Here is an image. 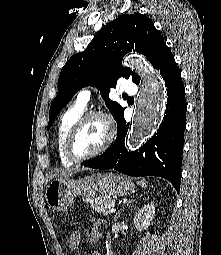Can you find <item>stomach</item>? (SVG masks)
I'll use <instances>...</instances> for the list:
<instances>
[{
    "mask_svg": "<svg viewBox=\"0 0 221 255\" xmlns=\"http://www.w3.org/2000/svg\"><path fill=\"white\" fill-rule=\"evenodd\" d=\"M134 189L130 180L114 173L95 174L78 180L65 176L55 178L49 183L45 198L53 211H62L73 204L77 195H81L83 201L89 203L100 195L122 196Z\"/></svg>",
    "mask_w": 221,
    "mask_h": 255,
    "instance_id": "stomach-1",
    "label": "stomach"
}]
</instances>
